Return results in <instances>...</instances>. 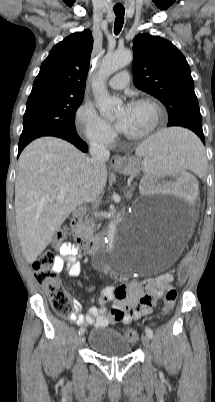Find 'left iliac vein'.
Instances as JSON below:
<instances>
[{
  "label": "left iliac vein",
  "instance_id": "left-iliac-vein-1",
  "mask_svg": "<svg viewBox=\"0 0 215 402\" xmlns=\"http://www.w3.org/2000/svg\"><path fill=\"white\" fill-rule=\"evenodd\" d=\"M142 344L147 350H150V338L147 335L142 336Z\"/></svg>",
  "mask_w": 215,
  "mask_h": 402
}]
</instances>
